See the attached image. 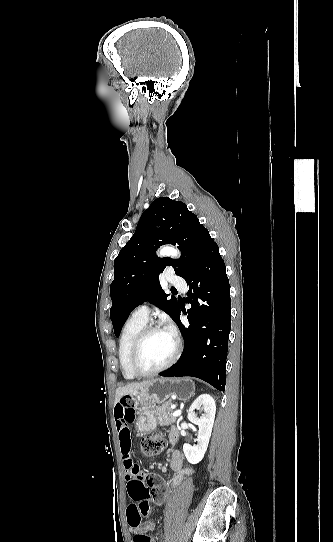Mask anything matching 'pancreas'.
<instances>
[{
    "mask_svg": "<svg viewBox=\"0 0 333 542\" xmlns=\"http://www.w3.org/2000/svg\"><path fill=\"white\" fill-rule=\"evenodd\" d=\"M170 402H165L162 406H156L155 414L157 416L159 426H171L175 424L176 418H173Z\"/></svg>",
    "mask_w": 333,
    "mask_h": 542,
    "instance_id": "cf45deb5",
    "label": "pancreas"
}]
</instances>
